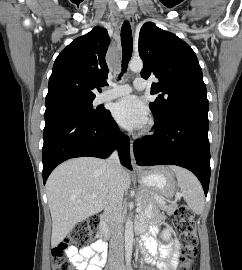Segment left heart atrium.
I'll return each instance as SVG.
<instances>
[{
  "label": "left heart atrium",
  "instance_id": "39dd6f15",
  "mask_svg": "<svg viewBox=\"0 0 242 270\" xmlns=\"http://www.w3.org/2000/svg\"><path fill=\"white\" fill-rule=\"evenodd\" d=\"M112 114L128 129L142 128L148 121L147 107L135 96L123 98L115 103Z\"/></svg>",
  "mask_w": 242,
  "mask_h": 270
}]
</instances>
